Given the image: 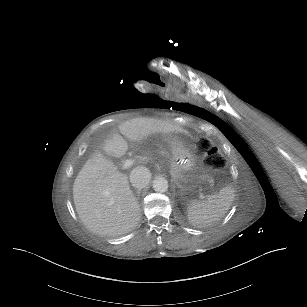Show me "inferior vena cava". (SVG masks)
I'll return each instance as SVG.
<instances>
[{"instance_id":"inferior-vena-cava-1","label":"inferior vena cava","mask_w":307,"mask_h":307,"mask_svg":"<svg viewBox=\"0 0 307 307\" xmlns=\"http://www.w3.org/2000/svg\"><path fill=\"white\" fill-rule=\"evenodd\" d=\"M151 180V173L144 166L135 167L130 173V182L137 189L145 188Z\"/></svg>"}]
</instances>
